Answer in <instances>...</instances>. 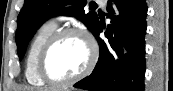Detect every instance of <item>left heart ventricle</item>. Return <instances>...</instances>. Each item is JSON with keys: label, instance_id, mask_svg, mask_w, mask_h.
<instances>
[{"label": "left heart ventricle", "instance_id": "left-heart-ventricle-1", "mask_svg": "<svg viewBox=\"0 0 173 91\" xmlns=\"http://www.w3.org/2000/svg\"><path fill=\"white\" fill-rule=\"evenodd\" d=\"M88 56V45L81 36L66 35L51 47L45 71L54 80L70 78L84 69Z\"/></svg>", "mask_w": 173, "mask_h": 91}]
</instances>
